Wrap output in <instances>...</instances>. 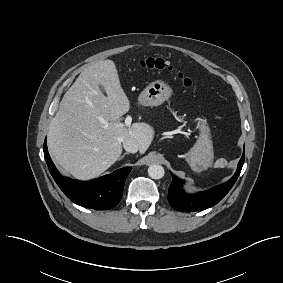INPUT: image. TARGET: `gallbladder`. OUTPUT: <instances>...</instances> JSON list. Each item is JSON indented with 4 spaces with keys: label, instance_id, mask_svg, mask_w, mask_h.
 Listing matches in <instances>:
<instances>
[{
    "label": "gallbladder",
    "instance_id": "gallbladder-1",
    "mask_svg": "<svg viewBox=\"0 0 283 283\" xmlns=\"http://www.w3.org/2000/svg\"><path fill=\"white\" fill-rule=\"evenodd\" d=\"M100 89H101L102 91H104L103 87H100Z\"/></svg>",
    "mask_w": 283,
    "mask_h": 283
}]
</instances>
